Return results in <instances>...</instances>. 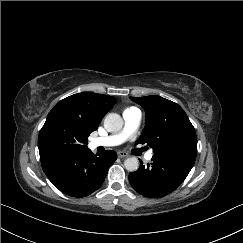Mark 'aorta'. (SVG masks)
Segmentation results:
<instances>
[{
    "mask_svg": "<svg viewBox=\"0 0 243 243\" xmlns=\"http://www.w3.org/2000/svg\"><path fill=\"white\" fill-rule=\"evenodd\" d=\"M123 127V120L117 113H110L104 119V128L108 132H118ZM124 167L130 172H134L139 168V160L136 157L127 158L124 161Z\"/></svg>",
    "mask_w": 243,
    "mask_h": 243,
    "instance_id": "obj_1",
    "label": "aorta"
}]
</instances>
